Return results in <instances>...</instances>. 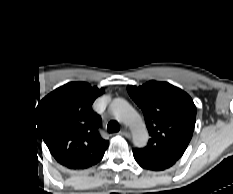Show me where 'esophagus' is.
Listing matches in <instances>:
<instances>
[{"instance_id": "esophagus-1", "label": "esophagus", "mask_w": 233, "mask_h": 194, "mask_svg": "<svg viewBox=\"0 0 233 194\" xmlns=\"http://www.w3.org/2000/svg\"><path fill=\"white\" fill-rule=\"evenodd\" d=\"M120 134L123 135V136H125L126 138H130V137H131L130 132L127 131V130H125V129L122 130V131L120 132Z\"/></svg>"}]
</instances>
